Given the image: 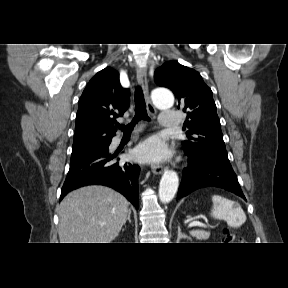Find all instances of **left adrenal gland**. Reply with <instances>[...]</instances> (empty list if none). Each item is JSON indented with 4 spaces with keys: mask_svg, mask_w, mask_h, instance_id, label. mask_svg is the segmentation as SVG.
Listing matches in <instances>:
<instances>
[{
    "mask_svg": "<svg viewBox=\"0 0 288 288\" xmlns=\"http://www.w3.org/2000/svg\"><path fill=\"white\" fill-rule=\"evenodd\" d=\"M183 238L191 240V237H189V236H187L185 234H182L181 229L178 226V238H177V240L179 241L180 239H183Z\"/></svg>",
    "mask_w": 288,
    "mask_h": 288,
    "instance_id": "1",
    "label": "left adrenal gland"
}]
</instances>
